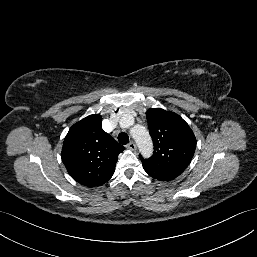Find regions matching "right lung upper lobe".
I'll return each instance as SVG.
<instances>
[{
    "instance_id": "right-lung-upper-lobe-1",
    "label": "right lung upper lobe",
    "mask_w": 257,
    "mask_h": 257,
    "mask_svg": "<svg viewBox=\"0 0 257 257\" xmlns=\"http://www.w3.org/2000/svg\"><path fill=\"white\" fill-rule=\"evenodd\" d=\"M101 125V115H90L70 128L63 143L61 158L68 173L87 187L107 182L125 149Z\"/></svg>"
}]
</instances>
